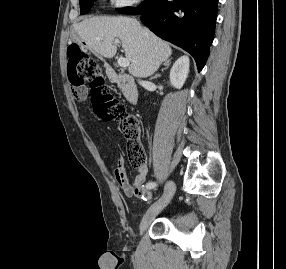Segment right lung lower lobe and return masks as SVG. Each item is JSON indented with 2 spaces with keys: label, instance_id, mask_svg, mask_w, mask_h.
Returning <instances> with one entry per match:
<instances>
[{
  "label": "right lung lower lobe",
  "instance_id": "obj_1",
  "mask_svg": "<svg viewBox=\"0 0 286 269\" xmlns=\"http://www.w3.org/2000/svg\"><path fill=\"white\" fill-rule=\"evenodd\" d=\"M217 3L218 0H158L153 8L140 12L141 21L157 36L188 51L200 71L214 39Z\"/></svg>",
  "mask_w": 286,
  "mask_h": 269
}]
</instances>
